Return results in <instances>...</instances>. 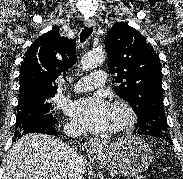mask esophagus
<instances>
[{
	"instance_id": "esophagus-1",
	"label": "esophagus",
	"mask_w": 183,
	"mask_h": 179,
	"mask_svg": "<svg viewBox=\"0 0 183 179\" xmlns=\"http://www.w3.org/2000/svg\"><path fill=\"white\" fill-rule=\"evenodd\" d=\"M95 24L94 20H87L85 22V25L87 27H92ZM105 145L104 141H101L99 139H90L85 143V148L88 153L90 154H97L101 151L102 147Z\"/></svg>"
}]
</instances>
